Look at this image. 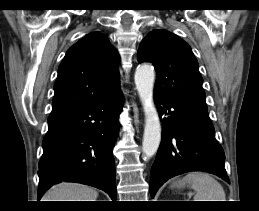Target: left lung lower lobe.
Returning a JSON list of instances; mask_svg holds the SVG:
<instances>
[{"mask_svg":"<svg viewBox=\"0 0 259 211\" xmlns=\"http://www.w3.org/2000/svg\"><path fill=\"white\" fill-rule=\"evenodd\" d=\"M155 101L160 117H168L162 119V140L151 169V197L168 179L188 171L209 172L229 182L207 106L158 92Z\"/></svg>","mask_w":259,"mask_h":211,"instance_id":"1","label":"left lung lower lobe"}]
</instances>
